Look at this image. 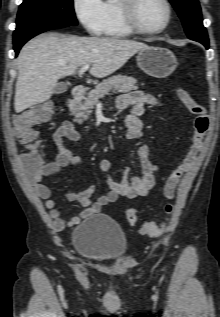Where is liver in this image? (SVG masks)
<instances>
[{
    "label": "liver",
    "mask_w": 220,
    "mask_h": 317,
    "mask_svg": "<svg viewBox=\"0 0 220 317\" xmlns=\"http://www.w3.org/2000/svg\"><path fill=\"white\" fill-rule=\"evenodd\" d=\"M147 47L142 42L117 38L40 35L30 40L18 56L15 112L50 99L57 81L83 65H91L89 73L94 77L104 78Z\"/></svg>",
    "instance_id": "liver-1"
}]
</instances>
